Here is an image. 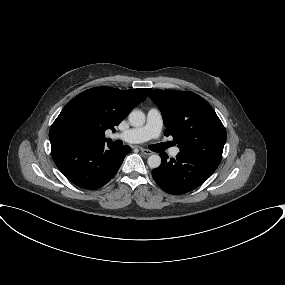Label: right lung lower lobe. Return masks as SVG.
Instances as JSON below:
<instances>
[{
    "label": "right lung lower lobe",
    "mask_w": 285,
    "mask_h": 285,
    "mask_svg": "<svg viewBox=\"0 0 285 285\" xmlns=\"http://www.w3.org/2000/svg\"><path fill=\"white\" fill-rule=\"evenodd\" d=\"M129 146L116 148L111 143L90 144L74 139L51 141L52 158L73 184L94 190L105 185L116 174Z\"/></svg>",
    "instance_id": "obj_1"
}]
</instances>
